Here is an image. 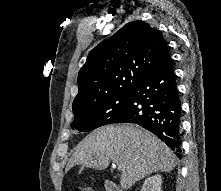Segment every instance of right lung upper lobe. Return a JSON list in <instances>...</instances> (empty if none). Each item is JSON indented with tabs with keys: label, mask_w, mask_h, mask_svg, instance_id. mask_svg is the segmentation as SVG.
Returning a JSON list of instances; mask_svg holds the SVG:
<instances>
[{
	"label": "right lung upper lobe",
	"mask_w": 221,
	"mask_h": 191,
	"mask_svg": "<svg viewBox=\"0 0 221 191\" xmlns=\"http://www.w3.org/2000/svg\"><path fill=\"white\" fill-rule=\"evenodd\" d=\"M167 55L160 31L144 21L126 24L90 51L78 74L73 112L132 91Z\"/></svg>",
	"instance_id": "cb5924a9"
}]
</instances>
